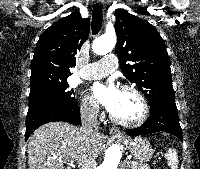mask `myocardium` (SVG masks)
Returning a JSON list of instances; mask_svg holds the SVG:
<instances>
[{
    "label": "myocardium",
    "mask_w": 200,
    "mask_h": 169,
    "mask_svg": "<svg viewBox=\"0 0 200 169\" xmlns=\"http://www.w3.org/2000/svg\"><path fill=\"white\" fill-rule=\"evenodd\" d=\"M120 90L132 92L138 97V99L141 103V106H142L141 115L136 120L126 121V120L116 118L112 113H110V119L118 125H121L124 127H129V128H136V127L143 125L147 121L149 114H150V106H149L147 98L145 97V95L143 94V92L140 89H138L137 87L132 86V85H123L120 88Z\"/></svg>",
    "instance_id": "obj_1"
}]
</instances>
